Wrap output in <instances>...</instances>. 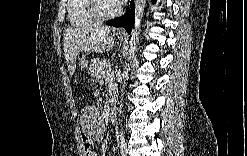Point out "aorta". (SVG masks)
Listing matches in <instances>:
<instances>
[{
    "label": "aorta",
    "instance_id": "obj_1",
    "mask_svg": "<svg viewBox=\"0 0 247 156\" xmlns=\"http://www.w3.org/2000/svg\"><path fill=\"white\" fill-rule=\"evenodd\" d=\"M135 4V23L133 26V29L131 31V37H130V58L131 56L134 55L136 49H137V44L139 41V34H140V28H141V23H142V18L144 15V9L146 6V0H135L134 2ZM129 66V63L126 64ZM129 68H124V71L122 73V89H121V100L119 102V112L121 113V109H122V101H123V95L125 92V87H126V81L129 77Z\"/></svg>",
    "mask_w": 247,
    "mask_h": 156
}]
</instances>
